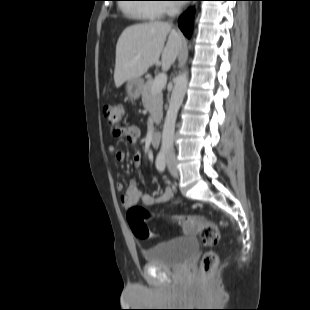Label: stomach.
<instances>
[{
    "label": "stomach",
    "mask_w": 310,
    "mask_h": 310,
    "mask_svg": "<svg viewBox=\"0 0 310 310\" xmlns=\"http://www.w3.org/2000/svg\"><path fill=\"white\" fill-rule=\"evenodd\" d=\"M143 89V80L140 78L127 80L126 91L127 94L133 98L137 99Z\"/></svg>",
    "instance_id": "0dacf381"
}]
</instances>
